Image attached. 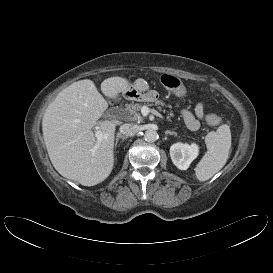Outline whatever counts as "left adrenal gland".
Returning <instances> with one entry per match:
<instances>
[{
	"mask_svg": "<svg viewBox=\"0 0 273 273\" xmlns=\"http://www.w3.org/2000/svg\"><path fill=\"white\" fill-rule=\"evenodd\" d=\"M176 135V133L175 132H172V131H169V130H167V131H165V135Z\"/></svg>",
	"mask_w": 273,
	"mask_h": 273,
	"instance_id": "obj_1",
	"label": "left adrenal gland"
}]
</instances>
